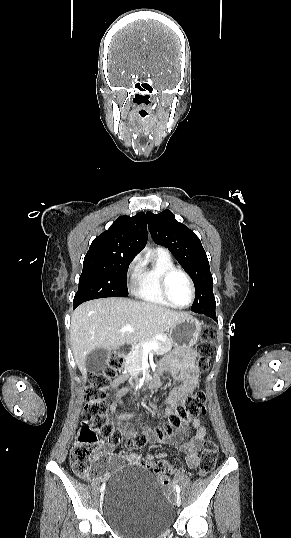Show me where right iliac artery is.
I'll use <instances>...</instances> for the list:
<instances>
[{
  "label": "right iliac artery",
  "mask_w": 291,
  "mask_h": 538,
  "mask_svg": "<svg viewBox=\"0 0 291 538\" xmlns=\"http://www.w3.org/2000/svg\"><path fill=\"white\" fill-rule=\"evenodd\" d=\"M105 489V483L102 484L100 491L103 492Z\"/></svg>",
  "instance_id": "right-iliac-artery-1"
}]
</instances>
